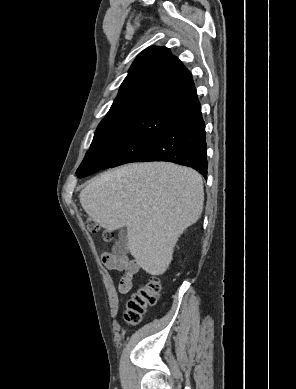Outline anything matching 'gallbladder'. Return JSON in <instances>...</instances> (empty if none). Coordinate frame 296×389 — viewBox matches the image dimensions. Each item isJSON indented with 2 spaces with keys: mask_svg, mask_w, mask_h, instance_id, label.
I'll return each mask as SVG.
<instances>
[{
  "mask_svg": "<svg viewBox=\"0 0 296 389\" xmlns=\"http://www.w3.org/2000/svg\"><path fill=\"white\" fill-rule=\"evenodd\" d=\"M128 236L124 229H121L118 234V240L116 241L113 251L116 256L121 257L127 253Z\"/></svg>",
  "mask_w": 296,
  "mask_h": 389,
  "instance_id": "bac80fb5",
  "label": "gallbladder"
}]
</instances>
